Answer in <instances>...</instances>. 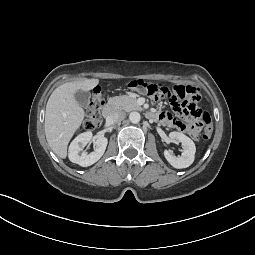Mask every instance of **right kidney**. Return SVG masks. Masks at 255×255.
<instances>
[{"instance_id":"right-kidney-1","label":"right kidney","mask_w":255,"mask_h":255,"mask_svg":"<svg viewBox=\"0 0 255 255\" xmlns=\"http://www.w3.org/2000/svg\"><path fill=\"white\" fill-rule=\"evenodd\" d=\"M92 139V133L84 132L79 134L70 144L69 146V159L71 162L76 163L82 167L90 166L96 163L104 154L108 140L105 137H100L95 140V148L94 151L87 154L82 151V148L88 144Z\"/></svg>"}]
</instances>
